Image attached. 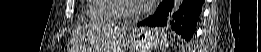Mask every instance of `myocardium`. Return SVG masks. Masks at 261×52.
I'll list each match as a JSON object with an SVG mask.
<instances>
[{
	"mask_svg": "<svg viewBox=\"0 0 261 52\" xmlns=\"http://www.w3.org/2000/svg\"><path fill=\"white\" fill-rule=\"evenodd\" d=\"M125 2H128V1L123 0V1H119L117 3V5H118V12L120 14V17L125 22L132 21V20H134V19L144 15L148 11V8H144L141 5H137V7H136L134 12H129L126 9Z\"/></svg>",
	"mask_w": 261,
	"mask_h": 52,
	"instance_id": "myocardium-1",
	"label": "myocardium"
}]
</instances>
